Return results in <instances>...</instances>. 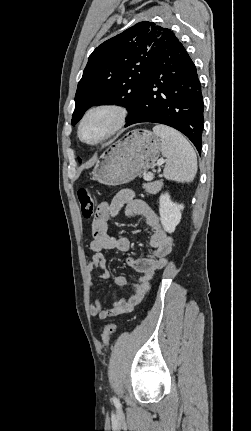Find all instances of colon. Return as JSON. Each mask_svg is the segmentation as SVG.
Here are the masks:
<instances>
[{"mask_svg": "<svg viewBox=\"0 0 251 431\" xmlns=\"http://www.w3.org/2000/svg\"><path fill=\"white\" fill-rule=\"evenodd\" d=\"M77 199L84 219H91L96 210V199L88 188L82 187L77 191ZM115 323L105 325L101 338L105 346L110 342L111 336L115 330Z\"/></svg>", "mask_w": 251, "mask_h": 431, "instance_id": "1", "label": "colon"}]
</instances>
